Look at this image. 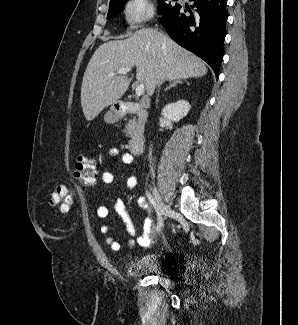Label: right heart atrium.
I'll use <instances>...</instances> for the list:
<instances>
[{
	"label": "right heart atrium",
	"instance_id": "obj_1",
	"mask_svg": "<svg viewBox=\"0 0 298 325\" xmlns=\"http://www.w3.org/2000/svg\"><path fill=\"white\" fill-rule=\"evenodd\" d=\"M153 6L146 0L129 1L125 8L126 21L132 25H138L151 17Z\"/></svg>",
	"mask_w": 298,
	"mask_h": 325
}]
</instances>
